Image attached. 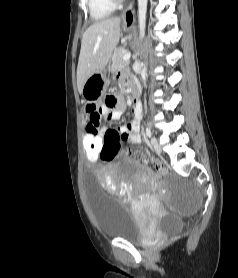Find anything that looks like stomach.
Here are the masks:
<instances>
[{"instance_id":"stomach-1","label":"stomach","mask_w":238,"mask_h":278,"mask_svg":"<svg viewBox=\"0 0 238 278\" xmlns=\"http://www.w3.org/2000/svg\"><path fill=\"white\" fill-rule=\"evenodd\" d=\"M124 30H130V27L123 25ZM113 78L111 69H100L99 73L90 76L82 89V96L87 101L97 100L106 89H109V82Z\"/></svg>"}]
</instances>
